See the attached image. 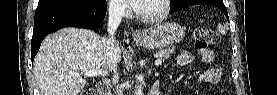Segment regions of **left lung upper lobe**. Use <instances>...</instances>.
Listing matches in <instances>:
<instances>
[{"label": "left lung upper lobe", "instance_id": "1", "mask_svg": "<svg viewBox=\"0 0 277 95\" xmlns=\"http://www.w3.org/2000/svg\"><path fill=\"white\" fill-rule=\"evenodd\" d=\"M188 1H190V0H172L170 11L176 10V9L182 7Z\"/></svg>", "mask_w": 277, "mask_h": 95}]
</instances>
